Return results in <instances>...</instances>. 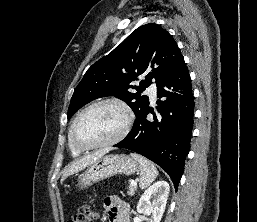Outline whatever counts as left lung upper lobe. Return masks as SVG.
<instances>
[{
    "label": "left lung upper lobe",
    "instance_id": "obj_1",
    "mask_svg": "<svg viewBox=\"0 0 257 222\" xmlns=\"http://www.w3.org/2000/svg\"><path fill=\"white\" fill-rule=\"evenodd\" d=\"M182 58L172 35L158 24L138 27L87 70L74 90L67 117L92 100L106 96L125 101L137 117L149 104L148 96L140 93L152 80L158 85ZM139 75H145V79L134 86L133 81ZM131 89L138 92L133 93Z\"/></svg>",
    "mask_w": 257,
    "mask_h": 222
}]
</instances>
